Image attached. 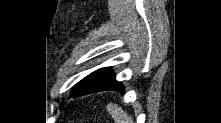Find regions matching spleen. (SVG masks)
<instances>
[{"label":"spleen","instance_id":"3e777b00","mask_svg":"<svg viewBox=\"0 0 221 123\" xmlns=\"http://www.w3.org/2000/svg\"><path fill=\"white\" fill-rule=\"evenodd\" d=\"M107 111L111 114L115 123H132V118L116 105H108Z\"/></svg>","mask_w":221,"mask_h":123}]
</instances>
